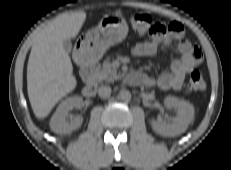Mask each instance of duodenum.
Instances as JSON below:
<instances>
[{"label":"duodenum","mask_w":231,"mask_h":170,"mask_svg":"<svg viewBox=\"0 0 231 170\" xmlns=\"http://www.w3.org/2000/svg\"><path fill=\"white\" fill-rule=\"evenodd\" d=\"M81 62V77L85 81L83 94L86 97H93L97 90L96 71L99 67V62L89 58H79Z\"/></svg>","instance_id":"obj_1"}]
</instances>
